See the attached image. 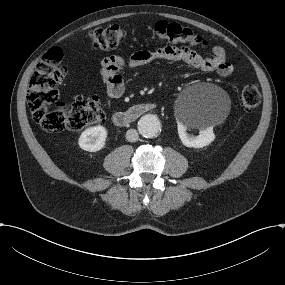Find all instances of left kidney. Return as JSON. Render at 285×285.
<instances>
[{"instance_id": "obj_1", "label": "left kidney", "mask_w": 285, "mask_h": 285, "mask_svg": "<svg viewBox=\"0 0 285 285\" xmlns=\"http://www.w3.org/2000/svg\"><path fill=\"white\" fill-rule=\"evenodd\" d=\"M182 144L187 148L201 149L209 146L216 140L212 126L202 129L196 138L191 137L186 130L179 132Z\"/></svg>"}]
</instances>
